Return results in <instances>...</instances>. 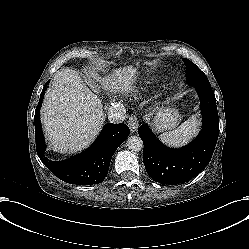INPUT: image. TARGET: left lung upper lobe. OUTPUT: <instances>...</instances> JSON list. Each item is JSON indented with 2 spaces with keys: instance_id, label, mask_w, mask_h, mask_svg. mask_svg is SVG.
I'll list each match as a JSON object with an SVG mask.
<instances>
[{
  "instance_id": "obj_1",
  "label": "left lung upper lobe",
  "mask_w": 249,
  "mask_h": 249,
  "mask_svg": "<svg viewBox=\"0 0 249 249\" xmlns=\"http://www.w3.org/2000/svg\"><path fill=\"white\" fill-rule=\"evenodd\" d=\"M184 63L186 64L187 80L189 84L202 83L210 86V83L206 75L190 60L184 58Z\"/></svg>"
}]
</instances>
